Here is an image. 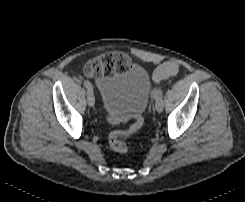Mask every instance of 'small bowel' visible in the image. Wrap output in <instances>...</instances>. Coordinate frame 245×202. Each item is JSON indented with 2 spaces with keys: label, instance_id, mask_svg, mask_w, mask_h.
Listing matches in <instances>:
<instances>
[{
  "label": "small bowel",
  "instance_id": "obj_1",
  "mask_svg": "<svg viewBox=\"0 0 245 202\" xmlns=\"http://www.w3.org/2000/svg\"><path fill=\"white\" fill-rule=\"evenodd\" d=\"M152 79L156 83L160 82V80L155 76V73L153 74Z\"/></svg>",
  "mask_w": 245,
  "mask_h": 202
}]
</instances>
